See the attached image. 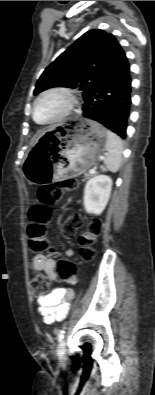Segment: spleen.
Here are the masks:
<instances>
[{
    "mask_svg": "<svg viewBox=\"0 0 155 395\" xmlns=\"http://www.w3.org/2000/svg\"><path fill=\"white\" fill-rule=\"evenodd\" d=\"M106 136L107 140L105 149L107 153L103 160L106 168L109 171L115 173L119 170L121 166L123 143L119 136H117L110 130L106 131Z\"/></svg>",
    "mask_w": 155,
    "mask_h": 395,
    "instance_id": "spleen-1",
    "label": "spleen"
}]
</instances>
